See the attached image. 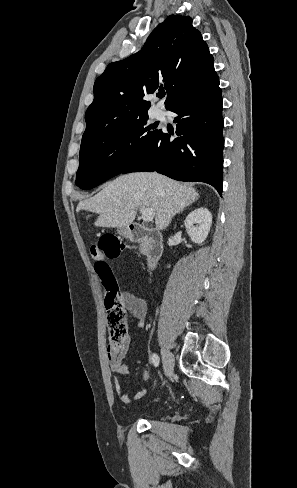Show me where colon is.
<instances>
[{
	"label": "colon",
	"mask_w": 297,
	"mask_h": 488,
	"mask_svg": "<svg viewBox=\"0 0 297 488\" xmlns=\"http://www.w3.org/2000/svg\"><path fill=\"white\" fill-rule=\"evenodd\" d=\"M127 246L113 234L103 235L98 245L91 248V255L96 260L94 268L102 285L105 288V307L107 311V324L109 329L110 347L114 352L121 349L122 343L127 334L126 316L124 305L120 296L119 286L110 264L103 258L114 259L119 257ZM157 387L156 383L152 384ZM155 394L154 390L150 391Z\"/></svg>",
	"instance_id": "5ec220e1"
}]
</instances>
